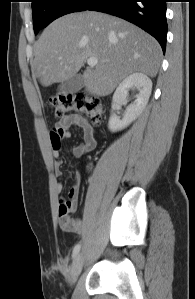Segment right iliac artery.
Segmentation results:
<instances>
[{"mask_svg": "<svg viewBox=\"0 0 195 299\" xmlns=\"http://www.w3.org/2000/svg\"><path fill=\"white\" fill-rule=\"evenodd\" d=\"M79 250H80V244L78 243L75 245V247L73 249V253H72L73 258L78 254Z\"/></svg>", "mask_w": 195, "mask_h": 299, "instance_id": "82829eb1", "label": "right iliac artery"}]
</instances>
